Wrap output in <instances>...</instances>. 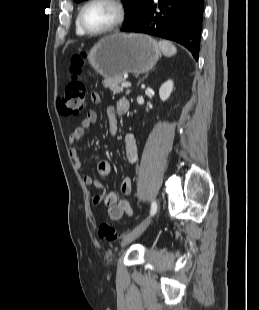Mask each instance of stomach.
Wrapping results in <instances>:
<instances>
[{
  "mask_svg": "<svg viewBox=\"0 0 259 310\" xmlns=\"http://www.w3.org/2000/svg\"><path fill=\"white\" fill-rule=\"evenodd\" d=\"M161 56L158 43L143 34L115 33L102 38L87 54L93 69L105 78L151 70Z\"/></svg>",
  "mask_w": 259,
  "mask_h": 310,
  "instance_id": "0dacf381",
  "label": "stomach"
}]
</instances>
